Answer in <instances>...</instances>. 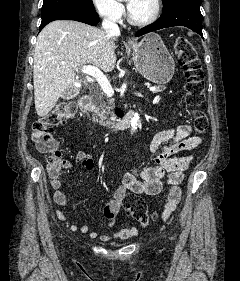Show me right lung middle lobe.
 I'll use <instances>...</instances> for the list:
<instances>
[{"label": "right lung middle lobe", "instance_id": "1", "mask_svg": "<svg viewBox=\"0 0 240 281\" xmlns=\"http://www.w3.org/2000/svg\"><path fill=\"white\" fill-rule=\"evenodd\" d=\"M63 10L97 14L92 0H43L41 17Z\"/></svg>", "mask_w": 240, "mask_h": 281}]
</instances>
